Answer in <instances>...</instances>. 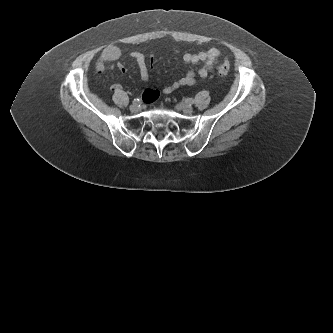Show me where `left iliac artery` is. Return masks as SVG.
Instances as JSON below:
<instances>
[{
	"label": "left iliac artery",
	"instance_id": "left-iliac-artery-1",
	"mask_svg": "<svg viewBox=\"0 0 333 333\" xmlns=\"http://www.w3.org/2000/svg\"><path fill=\"white\" fill-rule=\"evenodd\" d=\"M186 102L191 105L194 103V100L192 98H187Z\"/></svg>",
	"mask_w": 333,
	"mask_h": 333
}]
</instances>
